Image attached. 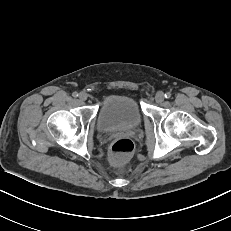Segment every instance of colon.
Returning <instances> with one entry per match:
<instances>
[{
  "instance_id": "5ec220e1",
  "label": "colon",
  "mask_w": 231,
  "mask_h": 231,
  "mask_svg": "<svg viewBox=\"0 0 231 231\" xmlns=\"http://www.w3.org/2000/svg\"><path fill=\"white\" fill-rule=\"evenodd\" d=\"M134 150V143L128 138L115 140L110 146V158L116 164L125 163Z\"/></svg>"
}]
</instances>
